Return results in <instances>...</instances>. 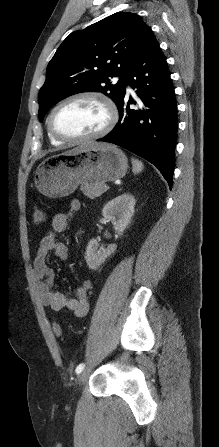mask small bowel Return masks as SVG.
<instances>
[{
  "label": "small bowel",
  "mask_w": 219,
  "mask_h": 447,
  "mask_svg": "<svg viewBox=\"0 0 219 447\" xmlns=\"http://www.w3.org/2000/svg\"><path fill=\"white\" fill-rule=\"evenodd\" d=\"M80 208V201L73 200L66 211L59 212L53 217L51 228L39 242L33 261V279L39 301L54 311L68 310L77 317L84 316L88 311V292L92 287V281L84 280L75 288L73 297L54 290L55 274L47 264V257L50 252H53L60 260L68 258V247L57 240V235L67 228L71 217Z\"/></svg>",
  "instance_id": "1"
}]
</instances>
